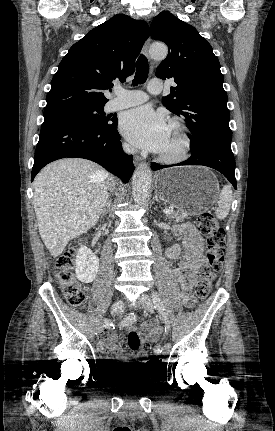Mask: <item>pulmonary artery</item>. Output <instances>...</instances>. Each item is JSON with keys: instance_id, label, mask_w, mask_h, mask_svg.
I'll return each mask as SVG.
<instances>
[{"instance_id": "1", "label": "pulmonary artery", "mask_w": 275, "mask_h": 431, "mask_svg": "<svg viewBox=\"0 0 275 431\" xmlns=\"http://www.w3.org/2000/svg\"><path fill=\"white\" fill-rule=\"evenodd\" d=\"M148 92L156 95L162 91V83L158 79H153L149 82ZM116 97L110 100L107 104L109 111H115L123 108L132 107L145 102L148 95L140 90H125L117 88L115 90Z\"/></svg>"}]
</instances>
